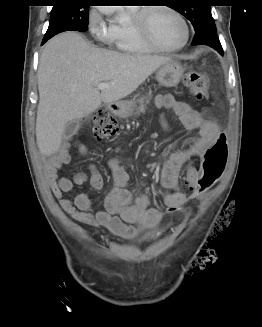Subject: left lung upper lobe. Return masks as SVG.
<instances>
[{"mask_svg": "<svg viewBox=\"0 0 262 327\" xmlns=\"http://www.w3.org/2000/svg\"><path fill=\"white\" fill-rule=\"evenodd\" d=\"M195 5H180L178 1H172L173 8L185 16L197 32L204 25L214 21L211 15V6L205 4V0L194 1Z\"/></svg>", "mask_w": 262, "mask_h": 327, "instance_id": "5c2ea615", "label": "left lung upper lobe"}]
</instances>
